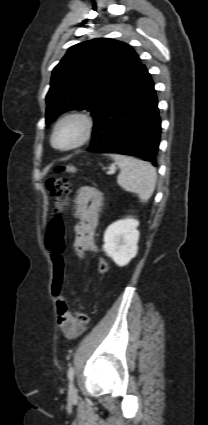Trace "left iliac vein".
<instances>
[{
    "instance_id": "obj_1",
    "label": "left iliac vein",
    "mask_w": 208,
    "mask_h": 425,
    "mask_svg": "<svg viewBox=\"0 0 208 425\" xmlns=\"http://www.w3.org/2000/svg\"><path fill=\"white\" fill-rule=\"evenodd\" d=\"M69 396H70V398H76L77 397V390H76L73 383H70V386H69Z\"/></svg>"
}]
</instances>
